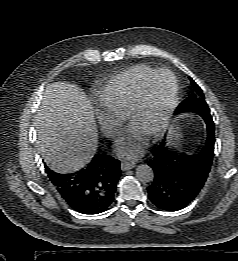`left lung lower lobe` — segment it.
I'll return each instance as SVG.
<instances>
[{
    "label": "left lung lower lobe",
    "instance_id": "1",
    "mask_svg": "<svg viewBox=\"0 0 238 261\" xmlns=\"http://www.w3.org/2000/svg\"><path fill=\"white\" fill-rule=\"evenodd\" d=\"M198 113L206 122V145L193 155H171L164 141L154 151L148 165L154 180L147 188L150 201L160 209L177 211L186 207L202 189L214 156V123L209 113Z\"/></svg>",
    "mask_w": 238,
    "mask_h": 261
}]
</instances>
